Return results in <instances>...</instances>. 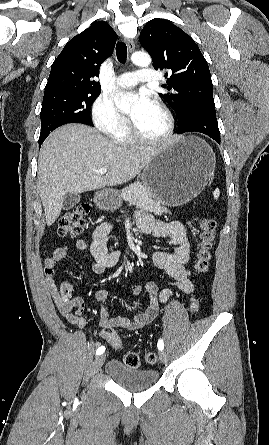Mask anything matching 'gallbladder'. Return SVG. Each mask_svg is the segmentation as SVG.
Segmentation results:
<instances>
[{
	"instance_id": "gallbladder-1",
	"label": "gallbladder",
	"mask_w": 269,
	"mask_h": 445,
	"mask_svg": "<svg viewBox=\"0 0 269 445\" xmlns=\"http://www.w3.org/2000/svg\"><path fill=\"white\" fill-rule=\"evenodd\" d=\"M80 194L67 193L63 197V210H70L76 206L80 201Z\"/></svg>"
}]
</instances>
